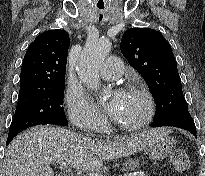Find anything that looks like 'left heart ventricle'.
I'll use <instances>...</instances> for the list:
<instances>
[{
    "label": "left heart ventricle",
    "instance_id": "obj_1",
    "mask_svg": "<svg viewBox=\"0 0 205 176\" xmlns=\"http://www.w3.org/2000/svg\"><path fill=\"white\" fill-rule=\"evenodd\" d=\"M146 111L147 105L144 98L137 93L131 92L121 103L114 117L121 123L132 125L141 121Z\"/></svg>",
    "mask_w": 205,
    "mask_h": 176
}]
</instances>
